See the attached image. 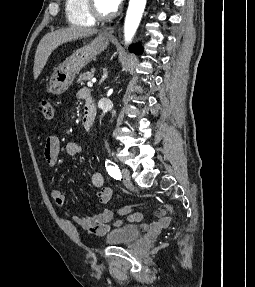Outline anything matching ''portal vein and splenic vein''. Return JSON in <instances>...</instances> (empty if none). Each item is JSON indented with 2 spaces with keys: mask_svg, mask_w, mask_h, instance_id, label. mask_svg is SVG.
I'll return each mask as SVG.
<instances>
[{
  "mask_svg": "<svg viewBox=\"0 0 255 287\" xmlns=\"http://www.w3.org/2000/svg\"><path fill=\"white\" fill-rule=\"evenodd\" d=\"M93 82H96V78H93V80H91V82H87L88 88H92Z\"/></svg>",
  "mask_w": 255,
  "mask_h": 287,
  "instance_id": "portal-vein-and-splenic-vein-1",
  "label": "portal vein and splenic vein"
}]
</instances>
